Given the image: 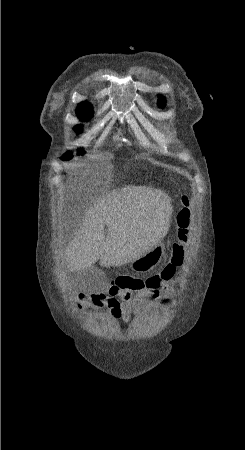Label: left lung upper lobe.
<instances>
[{
	"label": "left lung upper lobe",
	"mask_w": 245,
	"mask_h": 450,
	"mask_svg": "<svg viewBox=\"0 0 245 450\" xmlns=\"http://www.w3.org/2000/svg\"><path fill=\"white\" fill-rule=\"evenodd\" d=\"M158 105L161 106V107H164V105H165V99H164L163 97H160V98H159Z\"/></svg>",
	"instance_id": "left-lung-upper-lobe-1"
}]
</instances>
